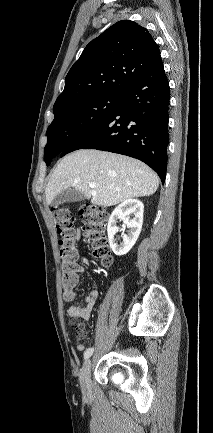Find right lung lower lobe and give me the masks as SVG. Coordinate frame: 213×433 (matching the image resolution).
I'll return each instance as SVG.
<instances>
[{
	"label": "right lung lower lobe",
	"instance_id": "98d812e1",
	"mask_svg": "<svg viewBox=\"0 0 213 433\" xmlns=\"http://www.w3.org/2000/svg\"><path fill=\"white\" fill-rule=\"evenodd\" d=\"M169 82L161 57L127 89L108 117L84 134L61 157L78 149H97L137 158L157 172L167 168Z\"/></svg>",
	"mask_w": 213,
	"mask_h": 433
}]
</instances>
